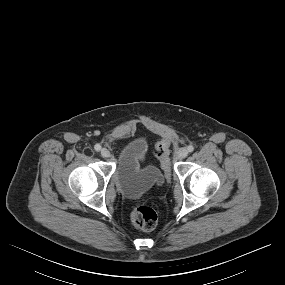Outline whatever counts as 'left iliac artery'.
Wrapping results in <instances>:
<instances>
[{"label": "left iliac artery", "mask_w": 285, "mask_h": 285, "mask_svg": "<svg viewBox=\"0 0 285 285\" xmlns=\"http://www.w3.org/2000/svg\"><path fill=\"white\" fill-rule=\"evenodd\" d=\"M187 150H188L189 152H193V151H194V147H193L192 145H189V146L187 147Z\"/></svg>", "instance_id": "1"}]
</instances>
